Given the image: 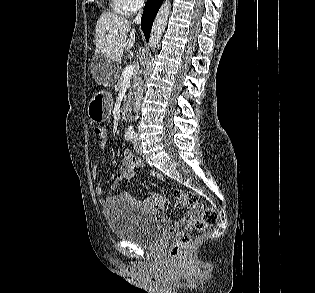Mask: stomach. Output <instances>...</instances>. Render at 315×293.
<instances>
[{"label":"stomach","instance_id":"obj_1","mask_svg":"<svg viewBox=\"0 0 315 293\" xmlns=\"http://www.w3.org/2000/svg\"><path fill=\"white\" fill-rule=\"evenodd\" d=\"M113 105L112 96L106 92H97L93 95L89 106L88 115L94 122L105 121L111 113Z\"/></svg>","mask_w":315,"mask_h":293}]
</instances>
